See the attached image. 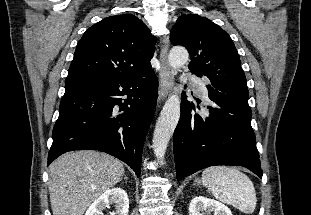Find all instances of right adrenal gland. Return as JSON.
<instances>
[{"label":"right adrenal gland","instance_id":"2a0ac1e0","mask_svg":"<svg viewBox=\"0 0 311 215\" xmlns=\"http://www.w3.org/2000/svg\"><path fill=\"white\" fill-rule=\"evenodd\" d=\"M124 180H128L127 176L124 177Z\"/></svg>","mask_w":311,"mask_h":215}]
</instances>
